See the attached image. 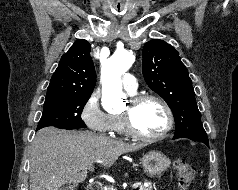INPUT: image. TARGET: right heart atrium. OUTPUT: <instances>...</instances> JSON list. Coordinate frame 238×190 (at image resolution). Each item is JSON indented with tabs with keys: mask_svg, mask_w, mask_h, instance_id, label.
<instances>
[{
	"mask_svg": "<svg viewBox=\"0 0 238 190\" xmlns=\"http://www.w3.org/2000/svg\"><path fill=\"white\" fill-rule=\"evenodd\" d=\"M80 117L92 131L105 134L113 131L112 116L106 113L100 105V92L93 91L84 102Z\"/></svg>",
	"mask_w": 238,
	"mask_h": 190,
	"instance_id": "right-heart-atrium-1",
	"label": "right heart atrium"
}]
</instances>
